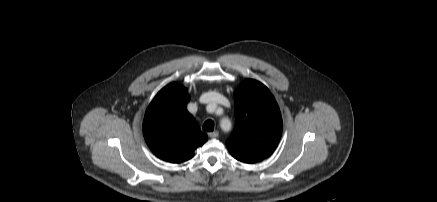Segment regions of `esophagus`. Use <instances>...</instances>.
I'll return each mask as SVG.
<instances>
[{
  "label": "esophagus",
  "mask_w": 437,
  "mask_h": 202,
  "mask_svg": "<svg viewBox=\"0 0 437 202\" xmlns=\"http://www.w3.org/2000/svg\"><path fill=\"white\" fill-rule=\"evenodd\" d=\"M218 135H219L218 131H213V132H209V133H208V136H209L210 138H217Z\"/></svg>",
  "instance_id": "34e87169"
}]
</instances>
